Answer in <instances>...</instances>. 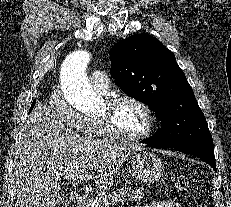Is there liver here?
<instances>
[{"mask_svg": "<svg viewBox=\"0 0 231 207\" xmlns=\"http://www.w3.org/2000/svg\"><path fill=\"white\" fill-rule=\"evenodd\" d=\"M143 148L80 136L66 125L57 110L37 103L24 125L14 162L15 207H56L61 180L91 176L107 190L123 163Z\"/></svg>", "mask_w": 231, "mask_h": 207, "instance_id": "obj_1", "label": "liver"}]
</instances>
